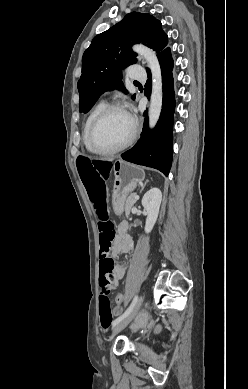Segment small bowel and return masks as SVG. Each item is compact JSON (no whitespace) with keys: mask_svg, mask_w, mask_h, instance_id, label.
<instances>
[{"mask_svg":"<svg viewBox=\"0 0 248 389\" xmlns=\"http://www.w3.org/2000/svg\"><path fill=\"white\" fill-rule=\"evenodd\" d=\"M132 251H133V241L130 235L128 234V224L125 221L120 222L117 227V234L113 241L112 254L113 256H117L119 254L131 253ZM115 274L117 280H121L126 274V266L117 265ZM122 310H123L122 306L121 307L115 306V313L117 315L121 314Z\"/></svg>","mask_w":248,"mask_h":389,"instance_id":"small-bowel-1","label":"small bowel"}]
</instances>
